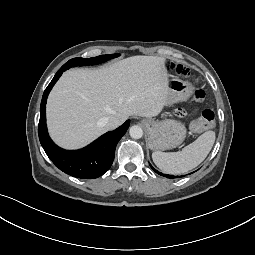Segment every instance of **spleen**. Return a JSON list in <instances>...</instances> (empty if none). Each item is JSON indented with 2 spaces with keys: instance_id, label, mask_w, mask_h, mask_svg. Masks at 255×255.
<instances>
[{
  "instance_id": "1",
  "label": "spleen",
  "mask_w": 255,
  "mask_h": 255,
  "mask_svg": "<svg viewBox=\"0 0 255 255\" xmlns=\"http://www.w3.org/2000/svg\"><path fill=\"white\" fill-rule=\"evenodd\" d=\"M215 142V132L206 131L181 151L165 153L155 151V165L168 174H184L197 167L207 157Z\"/></svg>"
}]
</instances>
